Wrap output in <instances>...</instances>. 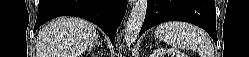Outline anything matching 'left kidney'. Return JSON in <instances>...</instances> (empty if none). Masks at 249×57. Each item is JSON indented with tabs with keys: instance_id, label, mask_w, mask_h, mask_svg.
Segmentation results:
<instances>
[{
	"instance_id": "1",
	"label": "left kidney",
	"mask_w": 249,
	"mask_h": 57,
	"mask_svg": "<svg viewBox=\"0 0 249 57\" xmlns=\"http://www.w3.org/2000/svg\"><path fill=\"white\" fill-rule=\"evenodd\" d=\"M151 57H186V55L174 48H158L153 51Z\"/></svg>"
}]
</instances>
